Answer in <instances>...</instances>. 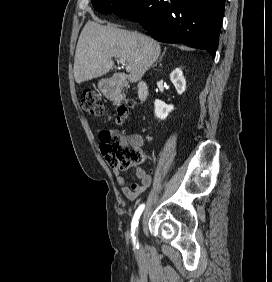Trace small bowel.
<instances>
[{
  "instance_id": "obj_1",
  "label": "small bowel",
  "mask_w": 272,
  "mask_h": 282,
  "mask_svg": "<svg viewBox=\"0 0 272 282\" xmlns=\"http://www.w3.org/2000/svg\"><path fill=\"white\" fill-rule=\"evenodd\" d=\"M129 139L139 147L143 145V137L140 134H133ZM113 173L124 195L131 200L138 198L152 182L151 176L139 166L136 167V176L140 181L139 184H129L122 171L113 169Z\"/></svg>"
}]
</instances>
